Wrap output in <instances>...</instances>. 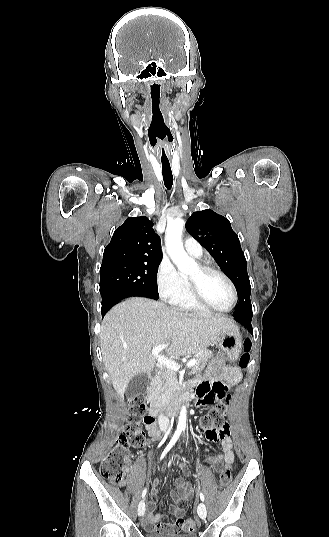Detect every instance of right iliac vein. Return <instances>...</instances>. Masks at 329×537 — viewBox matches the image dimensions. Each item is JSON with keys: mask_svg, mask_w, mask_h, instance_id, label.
<instances>
[{"mask_svg": "<svg viewBox=\"0 0 329 537\" xmlns=\"http://www.w3.org/2000/svg\"><path fill=\"white\" fill-rule=\"evenodd\" d=\"M138 515L143 516L145 513V502L142 500L140 501L137 509Z\"/></svg>", "mask_w": 329, "mask_h": 537, "instance_id": "63e3f726", "label": "right iliac vein"}]
</instances>
